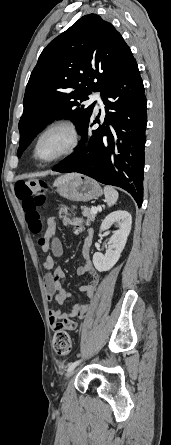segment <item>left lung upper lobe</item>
Listing matches in <instances>:
<instances>
[{
    "label": "left lung upper lobe",
    "instance_id": "obj_1",
    "mask_svg": "<svg viewBox=\"0 0 171 445\" xmlns=\"http://www.w3.org/2000/svg\"><path fill=\"white\" fill-rule=\"evenodd\" d=\"M135 63L129 46L109 22L96 14L81 17L48 44L31 73L17 155L54 119H71L80 133L95 105L81 102Z\"/></svg>",
    "mask_w": 171,
    "mask_h": 445
}]
</instances>
